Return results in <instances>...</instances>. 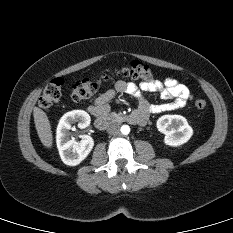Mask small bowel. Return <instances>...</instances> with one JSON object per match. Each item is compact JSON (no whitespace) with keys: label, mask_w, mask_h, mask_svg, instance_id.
<instances>
[{"label":"small bowel","mask_w":233,"mask_h":233,"mask_svg":"<svg viewBox=\"0 0 233 233\" xmlns=\"http://www.w3.org/2000/svg\"><path fill=\"white\" fill-rule=\"evenodd\" d=\"M146 92L159 93L162 99L169 102L151 104L144 95ZM115 93H126L136 98L138 111L146 116L183 108L193 97L190 90L174 78H166L164 81H145L139 84L118 81L113 89L96 98L93 104L89 106L90 113L94 116L106 114L110 109L109 102L113 99Z\"/></svg>","instance_id":"small-bowel-1"}]
</instances>
